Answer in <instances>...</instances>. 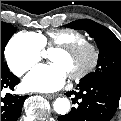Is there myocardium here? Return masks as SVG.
Listing matches in <instances>:
<instances>
[{
	"mask_svg": "<svg viewBox=\"0 0 121 121\" xmlns=\"http://www.w3.org/2000/svg\"><path fill=\"white\" fill-rule=\"evenodd\" d=\"M53 50L61 51L68 55H83L85 53L91 54L90 62L79 71L68 76L71 81H79L91 74L98 66L100 61L99 47L90 42H78L70 45H58Z\"/></svg>",
	"mask_w": 121,
	"mask_h": 121,
	"instance_id": "1",
	"label": "myocardium"
}]
</instances>
